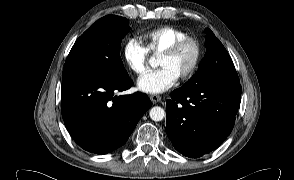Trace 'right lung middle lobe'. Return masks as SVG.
Listing matches in <instances>:
<instances>
[{
    "label": "right lung middle lobe",
    "mask_w": 294,
    "mask_h": 180,
    "mask_svg": "<svg viewBox=\"0 0 294 180\" xmlns=\"http://www.w3.org/2000/svg\"><path fill=\"white\" fill-rule=\"evenodd\" d=\"M129 29L125 17L108 15L96 21L74 43L64 65L62 81L81 76L128 78L120 45Z\"/></svg>",
    "instance_id": "1"
}]
</instances>
